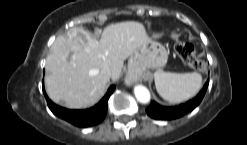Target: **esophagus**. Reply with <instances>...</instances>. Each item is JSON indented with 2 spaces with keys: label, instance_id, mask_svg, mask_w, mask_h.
Masks as SVG:
<instances>
[{
  "label": "esophagus",
  "instance_id": "obj_1",
  "mask_svg": "<svg viewBox=\"0 0 247 145\" xmlns=\"http://www.w3.org/2000/svg\"><path fill=\"white\" fill-rule=\"evenodd\" d=\"M132 83H133V81L131 79H126V84L130 85Z\"/></svg>",
  "mask_w": 247,
  "mask_h": 145
}]
</instances>
